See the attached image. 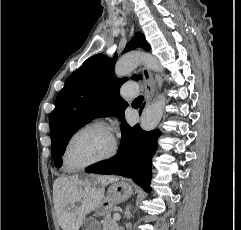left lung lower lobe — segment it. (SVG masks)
Returning <instances> with one entry per match:
<instances>
[{
  "mask_svg": "<svg viewBox=\"0 0 241 230\" xmlns=\"http://www.w3.org/2000/svg\"><path fill=\"white\" fill-rule=\"evenodd\" d=\"M121 129L122 138L118 153L109 160L88 167L86 172L115 174L131 178L149 192L152 176L151 159L157 147L160 131L146 132L139 125L132 128L125 120L122 121Z\"/></svg>",
  "mask_w": 241,
  "mask_h": 230,
  "instance_id": "0a47b994",
  "label": "left lung lower lobe"
}]
</instances>
